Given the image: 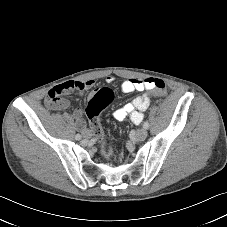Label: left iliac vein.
<instances>
[{
  "mask_svg": "<svg viewBox=\"0 0 227 227\" xmlns=\"http://www.w3.org/2000/svg\"><path fill=\"white\" fill-rule=\"evenodd\" d=\"M147 135H148L147 130L145 128H142V129H140V130L137 131V133H136V139L138 141H143V140L146 139Z\"/></svg>",
  "mask_w": 227,
  "mask_h": 227,
  "instance_id": "obj_1",
  "label": "left iliac vein"
}]
</instances>
